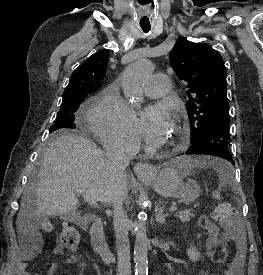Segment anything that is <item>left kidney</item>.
I'll use <instances>...</instances> for the list:
<instances>
[{
	"label": "left kidney",
	"instance_id": "5707ae66",
	"mask_svg": "<svg viewBox=\"0 0 263 275\" xmlns=\"http://www.w3.org/2000/svg\"><path fill=\"white\" fill-rule=\"evenodd\" d=\"M187 255L189 259L193 262L200 260L201 254L195 247H191L187 250Z\"/></svg>",
	"mask_w": 263,
	"mask_h": 275
}]
</instances>
